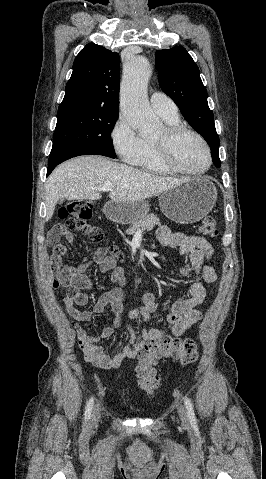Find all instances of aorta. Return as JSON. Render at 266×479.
<instances>
[{
  "label": "aorta",
  "mask_w": 266,
  "mask_h": 479,
  "mask_svg": "<svg viewBox=\"0 0 266 479\" xmlns=\"http://www.w3.org/2000/svg\"><path fill=\"white\" fill-rule=\"evenodd\" d=\"M150 75L151 67L145 57H134L124 65L120 88L121 112L130 126L141 134L153 133L161 126L146 96Z\"/></svg>",
  "instance_id": "1"
}]
</instances>
